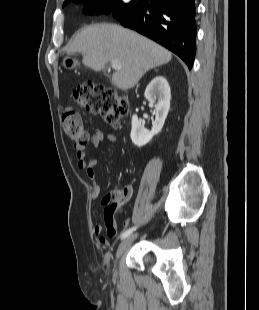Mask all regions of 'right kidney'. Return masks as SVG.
Wrapping results in <instances>:
<instances>
[{
    "mask_svg": "<svg viewBox=\"0 0 259 310\" xmlns=\"http://www.w3.org/2000/svg\"><path fill=\"white\" fill-rule=\"evenodd\" d=\"M145 98L151 103H155V122L152 130L148 131L138 120L137 115L132 116L131 140L138 147L144 146L153 138L154 135L161 132L165 119L170 109V87L163 76L155 77L145 90Z\"/></svg>",
    "mask_w": 259,
    "mask_h": 310,
    "instance_id": "ca27d5eb",
    "label": "right kidney"
}]
</instances>
